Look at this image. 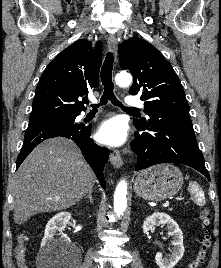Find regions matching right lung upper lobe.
<instances>
[{
    "label": "right lung upper lobe",
    "mask_w": 221,
    "mask_h": 268,
    "mask_svg": "<svg viewBox=\"0 0 221 268\" xmlns=\"http://www.w3.org/2000/svg\"><path fill=\"white\" fill-rule=\"evenodd\" d=\"M95 48L88 40H77L46 67L36 87L30 122L78 116L85 111L80 97L99 85L101 43Z\"/></svg>",
    "instance_id": "obj_1"
}]
</instances>
